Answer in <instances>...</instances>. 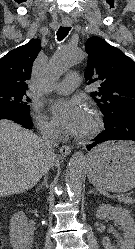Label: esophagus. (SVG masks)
<instances>
[{
  "instance_id": "34e87169",
  "label": "esophagus",
  "mask_w": 135,
  "mask_h": 249,
  "mask_svg": "<svg viewBox=\"0 0 135 249\" xmlns=\"http://www.w3.org/2000/svg\"><path fill=\"white\" fill-rule=\"evenodd\" d=\"M72 24V21L69 20V19H64L62 20V25L65 26V27H68ZM72 151V148L68 145H63L61 148H60V154L62 156H67L71 153Z\"/></svg>"
}]
</instances>
